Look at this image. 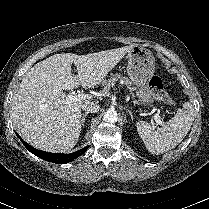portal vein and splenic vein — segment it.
Here are the masks:
<instances>
[{
    "instance_id": "obj_1",
    "label": "portal vein and splenic vein",
    "mask_w": 209,
    "mask_h": 209,
    "mask_svg": "<svg viewBox=\"0 0 209 209\" xmlns=\"http://www.w3.org/2000/svg\"><path fill=\"white\" fill-rule=\"evenodd\" d=\"M92 96L89 94H85V93H80V94H69L66 96V100L68 103L71 102H77V101H83V100H89L91 99ZM154 120L156 122L157 125H163L164 122L161 120L160 116L158 114L154 115Z\"/></svg>"
}]
</instances>
